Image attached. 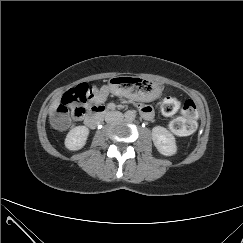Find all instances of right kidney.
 Listing matches in <instances>:
<instances>
[{
	"label": "right kidney",
	"mask_w": 243,
	"mask_h": 243,
	"mask_svg": "<svg viewBox=\"0 0 243 243\" xmlns=\"http://www.w3.org/2000/svg\"><path fill=\"white\" fill-rule=\"evenodd\" d=\"M89 129L86 126H77L71 129L65 139V147L71 151H76L86 144Z\"/></svg>",
	"instance_id": "ca27d5eb"
}]
</instances>
